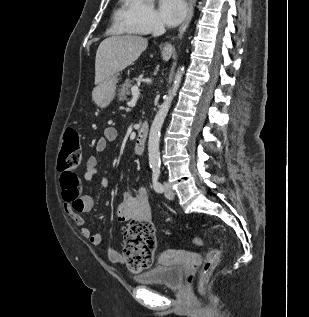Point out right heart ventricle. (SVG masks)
<instances>
[{"instance_id": "e07e8e85", "label": "right heart ventricle", "mask_w": 309, "mask_h": 317, "mask_svg": "<svg viewBox=\"0 0 309 317\" xmlns=\"http://www.w3.org/2000/svg\"><path fill=\"white\" fill-rule=\"evenodd\" d=\"M122 10L119 11V15L121 16Z\"/></svg>"}]
</instances>
